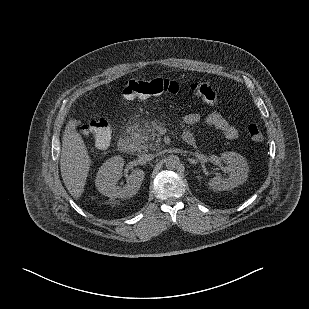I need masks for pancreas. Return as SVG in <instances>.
Masks as SVG:
<instances>
[{
	"instance_id": "pancreas-1",
	"label": "pancreas",
	"mask_w": 309,
	"mask_h": 309,
	"mask_svg": "<svg viewBox=\"0 0 309 309\" xmlns=\"http://www.w3.org/2000/svg\"><path fill=\"white\" fill-rule=\"evenodd\" d=\"M133 136L140 150L147 148L155 150L160 145L161 137L155 130L139 129Z\"/></svg>"
}]
</instances>
